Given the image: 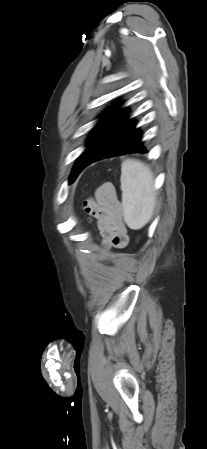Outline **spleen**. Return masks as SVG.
Returning a JSON list of instances; mask_svg holds the SVG:
<instances>
[{
	"label": "spleen",
	"instance_id": "1",
	"mask_svg": "<svg viewBox=\"0 0 207 449\" xmlns=\"http://www.w3.org/2000/svg\"><path fill=\"white\" fill-rule=\"evenodd\" d=\"M121 172L124 220L131 229L138 230L153 216L156 202L153 173L147 165L134 159L123 161Z\"/></svg>",
	"mask_w": 207,
	"mask_h": 449
}]
</instances>
